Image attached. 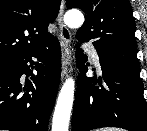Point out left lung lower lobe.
Listing matches in <instances>:
<instances>
[{"mask_svg":"<svg viewBox=\"0 0 147 131\" xmlns=\"http://www.w3.org/2000/svg\"><path fill=\"white\" fill-rule=\"evenodd\" d=\"M99 58L102 78L96 81L86 76V55L77 48L76 63L80 74L72 131H89L102 127L147 131V104L143 97L144 85L140 73L113 60ZM96 82L100 87L95 85Z\"/></svg>","mask_w":147,"mask_h":131,"instance_id":"1","label":"left lung lower lobe"}]
</instances>
